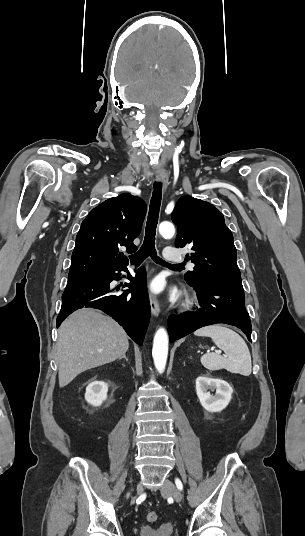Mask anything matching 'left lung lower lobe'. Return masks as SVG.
I'll return each mask as SVG.
<instances>
[{"label": "left lung lower lobe", "instance_id": "left-lung-lower-lobe-1", "mask_svg": "<svg viewBox=\"0 0 305 536\" xmlns=\"http://www.w3.org/2000/svg\"><path fill=\"white\" fill-rule=\"evenodd\" d=\"M197 293L200 307L168 319L170 342H174L191 332L216 323H225L240 328L251 342V321L245 309L242 285L203 284L192 285Z\"/></svg>", "mask_w": 305, "mask_h": 536}]
</instances>
